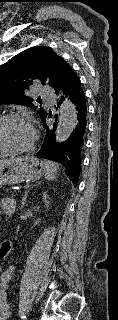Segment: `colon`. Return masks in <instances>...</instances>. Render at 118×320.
<instances>
[{
    "label": "colon",
    "instance_id": "5ec220e1",
    "mask_svg": "<svg viewBox=\"0 0 118 320\" xmlns=\"http://www.w3.org/2000/svg\"><path fill=\"white\" fill-rule=\"evenodd\" d=\"M9 242L8 241H4L2 243L3 245V251L0 250V259L4 258L6 256V254L8 253L7 249L9 248ZM1 246V245H0Z\"/></svg>",
    "mask_w": 118,
    "mask_h": 320
}]
</instances>
